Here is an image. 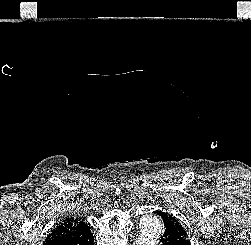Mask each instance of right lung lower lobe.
Returning a JSON list of instances; mask_svg holds the SVG:
<instances>
[{"label": "right lung lower lobe", "instance_id": "right-lung-lower-lobe-1", "mask_svg": "<svg viewBox=\"0 0 251 245\" xmlns=\"http://www.w3.org/2000/svg\"><path fill=\"white\" fill-rule=\"evenodd\" d=\"M44 245H94L93 235L90 228L82 232L70 235L58 236L46 239Z\"/></svg>", "mask_w": 251, "mask_h": 245}]
</instances>
